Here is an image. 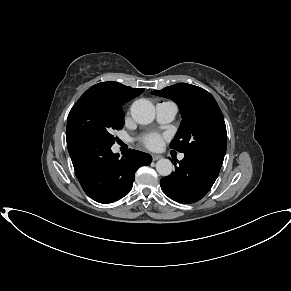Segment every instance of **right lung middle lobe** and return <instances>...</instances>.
<instances>
[{"label":"right lung middle lobe","instance_id":"1","mask_svg":"<svg viewBox=\"0 0 291 291\" xmlns=\"http://www.w3.org/2000/svg\"><path fill=\"white\" fill-rule=\"evenodd\" d=\"M123 125L122 105L103 97L83 94L68 115L66 136H85L112 146L116 139L113 131Z\"/></svg>","mask_w":291,"mask_h":291}]
</instances>
